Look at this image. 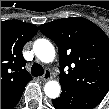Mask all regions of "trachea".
<instances>
[{"instance_id":"1","label":"trachea","mask_w":109,"mask_h":109,"mask_svg":"<svg viewBox=\"0 0 109 109\" xmlns=\"http://www.w3.org/2000/svg\"><path fill=\"white\" fill-rule=\"evenodd\" d=\"M31 73L35 77L42 76L44 74V69L40 64L35 63L32 65Z\"/></svg>"}]
</instances>
